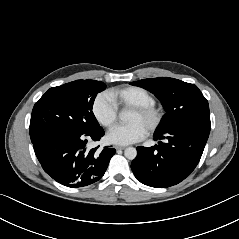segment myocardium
Listing matches in <instances>:
<instances>
[{
  "mask_svg": "<svg viewBox=\"0 0 239 239\" xmlns=\"http://www.w3.org/2000/svg\"><path fill=\"white\" fill-rule=\"evenodd\" d=\"M132 110L150 118V125L147 128V131L150 133L154 132L162 122L163 114L154 105L136 106Z\"/></svg>",
  "mask_w": 239,
  "mask_h": 239,
  "instance_id": "myocardium-1",
  "label": "myocardium"
}]
</instances>
